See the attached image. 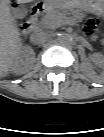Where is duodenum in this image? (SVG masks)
Returning <instances> with one entry per match:
<instances>
[{"mask_svg": "<svg viewBox=\"0 0 104 137\" xmlns=\"http://www.w3.org/2000/svg\"><path fill=\"white\" fill-rule=\"evenodd\" d=\"M48 9L49 7L44 4H39L32 9L29 19L26 20L22 25V30L26 35L30 34L33 31V25L36 18H38L44 12H47Z\"/></svg>", "mask_w": 104, "mask_h": 137, "instance_id": "obj_1", "label": "duodenum"}]
</instances>
